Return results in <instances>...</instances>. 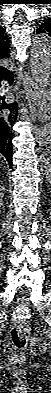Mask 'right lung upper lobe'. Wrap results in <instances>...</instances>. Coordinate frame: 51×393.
I'll list each match as a JSON object with an SVG mask.
<instances>
[{"mask_svg":"<svg viewBox=\"0 0 51 393\" xmlns=\"http://www.w3.org/2000/svg\"><path fill=\"white\" fill-rule=\"evenodd\" d=\"M9 57L8 39L5 36V30L0 26V60ZM9 70L0 65V80L3 79Z\"/></svg>","mask_w":51,"mask_h":393,"instance_id":"1","label":"right lung upper lobe"}]
</instances>
